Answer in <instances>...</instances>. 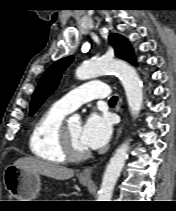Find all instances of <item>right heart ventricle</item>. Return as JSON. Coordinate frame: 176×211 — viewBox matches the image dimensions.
I'll return each instance as SVG.
<instances>
[{
	"instance_id": "obj_1",
	"label": "right heart ventricle",
	"mask_w": 176,
	"mask_h": 211,
	"mask_svg": "<svg viewBox=\"0 0 176 211\" xmlns=\"http://www.w3.org/2000/svg\"><path fill=\"white\" fill-rule=\"evenodd\" d=\"M68 113L54 103L39 116L29 137V149L36 158L56 164L67 162L60 144L59 129Z\"/></svg>"
}]
</instances>
